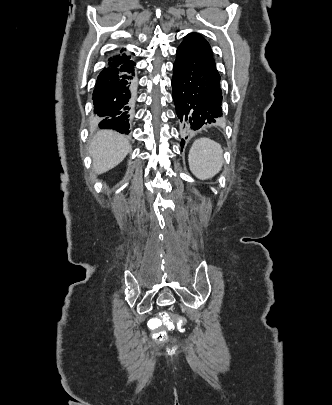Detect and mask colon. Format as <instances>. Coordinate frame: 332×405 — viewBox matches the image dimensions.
Returning a JSON list of instances; mask_svg holds the SVG:
<instances>
[{
  "label": "colon",
  "mask_w": 332,
  "mask_h": 405,
  "mask_svg": "<svg viewBox=\"0 0 332 405\" xmlns=\"http://www.w3.org/2000/svg\"><path fill=\"white\" fill-rule=\"evenodd\" d=\"M151 322L154 324V335L156 338H163L167 331H171L175 328V322L178 326L181 324H189L191 317L189 315H181L179 318L171 317L168 314L152 315Z\"/></svg>",
  "instance_id": "1"
}]
</instances>
